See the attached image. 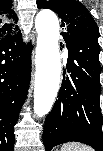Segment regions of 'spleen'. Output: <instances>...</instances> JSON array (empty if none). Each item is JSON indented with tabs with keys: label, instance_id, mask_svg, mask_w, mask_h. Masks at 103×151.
<instances>
[{
	"label": "spleen",
	"instance_id": "spleen-1",
	"mask_svg": "<svg viewBox=\"0 0 103 151\" xmlns=\"http://www.w3.org/2000/svg\"><path fill=\"white\" fill-rule=\"evenodd\" d=\"M60 151H94L93 148L84 144L70 142L66 143L61 147Z\"/></svg>",
	"mask_w": 103,
	"mask_h": 151
}]
</instances>
